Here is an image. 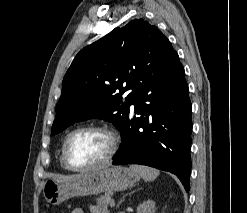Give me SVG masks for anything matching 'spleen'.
<instances>
[{
	"instance_id": "3e777b00",
	"label": "spleen",
	"mask_w": 247,
	"mask_h": 213,
	"mask_svg": "<svg viewBox=\"0 0 247 213\" xmlns=\"http://www.w3.org/2000/svg\"><path fill=\"white\" fill-rule=\"evenodd\" d=\"M130 169L135 173L139 174V176H141L145 181L148 182L155 180L159 175L158 170L148 166L131 165Z\"/></svg>"
}]
</instances>
